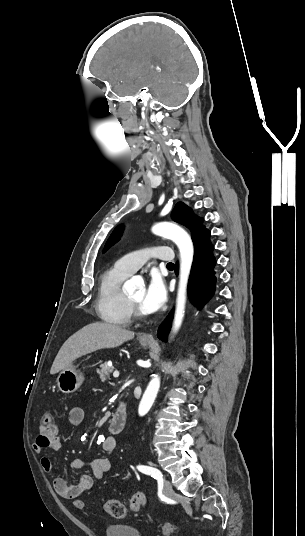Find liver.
<instances>
[{
  "label": "liver",
  "instance_id": "liver-1",
  "mask_svg": "<svg viewBox=\"0 0 305 536\" xmlns=\"http://www.w3.org/2000/svg\"><path fill=\"white\" fill-rule=\"evenodd\" d=\"M133 338L134 332L124 330L115 324H103V322L88 324L66 340L52 364L50 374H58L60 370H65L71 362L81 356L103 348H117Z\"/></svg>",
  "mask_w": 305,
  "mask_h": 536
}]
</instances>
